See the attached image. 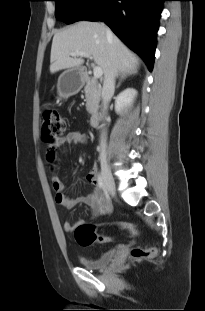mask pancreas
Wrapping results in <instances>:
<instances>
[{"label": "pancreas", "mask_w": 205, "mask_h": 311, "mask_svg": "<svg viewBox=\"0 0 205 311\" xmlns=\"http://www.w3.org/2000/svg\"><path fill=\"white\" fill-rule=\"evenodd\" d=\"M86 97V110L90 114H95L99 108L101 97V87L95 78H89L84 87Z\"/></svg>", "instance_id": "1"}]
</instances>
